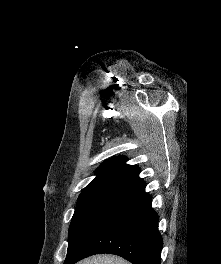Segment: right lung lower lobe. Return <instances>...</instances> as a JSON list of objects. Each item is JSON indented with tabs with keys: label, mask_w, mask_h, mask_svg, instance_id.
<instances>
[{
	"label": "right lung lower lobe",
	"mask_w": 221,
	"mask_h": 264,
	"mask_svg": "<svg viewBox=\"0 0 221 264\" xmlns=\"http://www.w3.org/2000/svg\"><path fill=\"white\" fill-rule=\"evenodd\" d=\"M145 186L141 180L127 188L82 249L64 264L98 253L116 254L133 264H160L163 240L158 231L159 218Z\"/></svg>",
	"instance_id": "right-lung-lower-lobe-1"
}]
</instances>
